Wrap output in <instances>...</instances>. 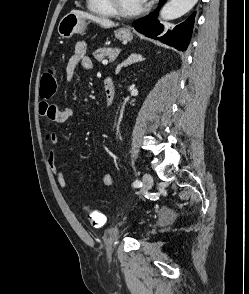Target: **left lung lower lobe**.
<instances>
[{"instance_id":"left-lung-lower-lobe-1","label":"left lung lower lobe","mask_w":249,"mask_h":294,"mask_svg":"<svg viewBox=\"0 0 249 294\" xmlns=\"http://www.w3.org/2000/svg\"><path fill=\"white\" fill-rule=\"evenodd\" d=\"M165 1L166 0H160L158 8L154 12L145 18L135 21L134 28L138 32L150 38L163 41L164 43L169 44L180 51H185L190 42L195 13H193L183 23L164 32L163 26L159 24V22L155 20L154 17L157 16L160 7L165 3Z\"/></svg>"}]
</instances>
